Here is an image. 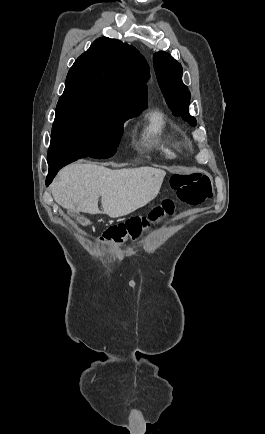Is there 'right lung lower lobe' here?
<instances>
[{"label": "right lung lower lobe", "instance_id": "98d812e1", "mask_svg": "<svg viewBox=\"0 0 265 434\" xmlns=\"http://www.w3.org/2000/svg\"><path fill=\"white\" fill-rule=\"evenodd\" d=\"M76 160H78V159H72V160L60 161V162H57V163H54V164H48L49 165V173H48V176L46 178V186H48L52 182L53 178L55 177V175L57 174V172L62 167H64L65 165H67V164H69L71 162H74Z\"/></svg>", "mask_w": 265, "mask_h": 434}]
</instances>
